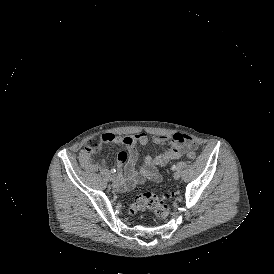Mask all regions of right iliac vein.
I'll list each match as a JSON object with an SVG mask.
<instances>
[{
  "instance_id": "1",
  "label": "right iliac vein",
  "mask_w": 274,
  "mask_h": 274,
  "mask_svg": "<svg viewBox=\"0 0 274 274\" xmlns=\"http://www.w3.org/2000/svg\"><path fill=\"white\" fill-rule=\"evenodd\" d=\"M115 179H116L115 175H111L110 176V181H112L113 184H115Z\"/></svg>"
}]
</instances>
